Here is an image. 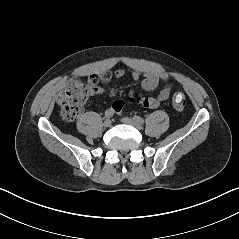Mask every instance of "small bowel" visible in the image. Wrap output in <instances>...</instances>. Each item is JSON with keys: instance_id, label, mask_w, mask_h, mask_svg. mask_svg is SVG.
<instances>
[{"instance_id": "1", "label": "small bowel", "mask_w": 239, "mask_h": 239, "mask_svg": "<svg viewBox=\"0 0 239 239\" xmlns=\"http://www.w3.org/2000/svg\"><path fill=\"white\" fill-rule=\"evenodd\" d=\"M125 71L123 69H117L113 74L110 72H105L101 75H92L89 77H94L96 84L91 89V95H99L103 90L98 86L99 82H108L112 76L117 79L124 77ZM131 78L134 81H140L139 88L143 91H152L157 88L160 84H164V87L159 92L156 97L141 98L138 97L135 90H130L127 94L128 101L134 103L137 102L144 108L148 109H157L161 106L162 102L167 100L172 91V85L168 83L169 77L166 73H157V72H140L132 71ZM109 96L114 97L115 91L110 90ZM125 107V102L122 100H117L112 105V110L114 113H120Z\"/></svg>"}]
</instances>
